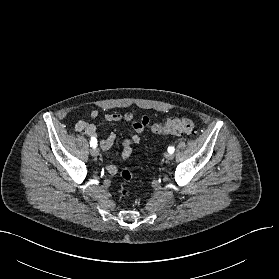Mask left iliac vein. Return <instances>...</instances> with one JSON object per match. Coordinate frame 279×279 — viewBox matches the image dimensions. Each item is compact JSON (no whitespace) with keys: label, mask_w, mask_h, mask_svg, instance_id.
Segmentation results:
<instances>
[{"label":"left iliac vein","mask_w":279,"mask_h":279,"mask_svg":"<svg viewBox=\"0 0 279 279\" xmlns=\"http://www.w3.org/2000/svg\"><path fill=\"white\" fill-rule=\"evenodd\" d=\"M165 158L167 160H172L174 158V154L168 152V153L165 154Z\"/></svg>","instance_id":"left-iliac-vein-1"}]
</instances>
